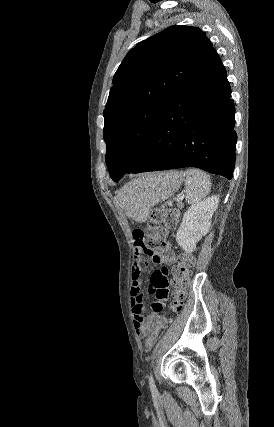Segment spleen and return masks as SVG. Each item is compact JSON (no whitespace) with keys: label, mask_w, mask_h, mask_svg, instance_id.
<instances>
[{"label":"spleen","mask_w":274,"mask_h":427,"mask_svg":"<svg viewBox=\"0 0 274 427\" xmlns=\"http://www.w3.org/2000/svg\"><path fill=\"white\" fill-rule=\"evenodd\" d=\"M184 174H186V202L192 206L199 204L211 190L210 178L201 170H186Z\"/></svg>","instance_id":"obj_1"}]
</instances>
